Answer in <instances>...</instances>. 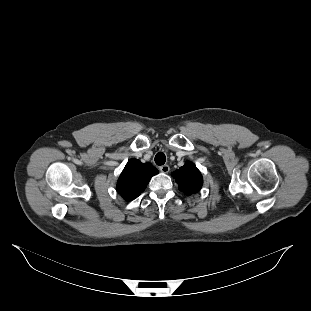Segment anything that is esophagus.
Listing matches in <instances>:
<instances>
[{"instance_id":"esophagus-1","label":"esophagus","mask_w":311,"mask_h":311,"mask_svg":"<svg viewBox=\"0 0 311 311\" xmlns=\"http://www.w3.org/2000/svg\"><path fill=\"white\" fill-rule=\"evenodd\" d=\"M169 170H170V167H169L168 165H162V166L160 167V171H161L162 173H168Z\"/></svg>"}]
</instances>
